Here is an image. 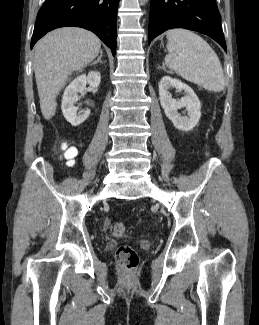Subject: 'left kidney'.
<instances>
[{
    "label": "left kidney",
    "instance_id": "left-kidney-1",
    "mask_svg": "<svg viewBox=\"0 0 259 325\" xmlns=\"http://www.w3.org/2000/svg\"><path fill=\"white\" fill-rule=\"evenodd\" d=\"M176 88L183 90L185 96L180 100H175L169 95V89ZM159 99L165 115L172 121L175 128L181 131L192 130L199 122L201 117V105L197 95L185 83L169 76H164L159 83ZM185 107L188 116H181L178 109Z\"/></svg>",
    "mask_w": 259,
    "mask_h": 325
}]
</instances>
